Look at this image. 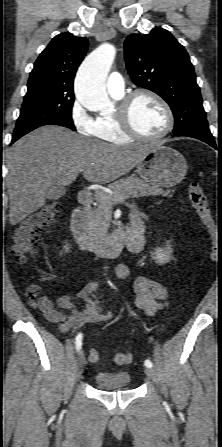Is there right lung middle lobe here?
I'll return each mask as SVG.
<instances>
[{
    "mask_svg": "<svg viewBox=\"0 0 222 447\" xmlns=\"http://www.w3.org/2000/svg\"><path fill=\"white\" fill-rule=\"evenodd\" d=\"M74 94L58 92L47 85L28 88L13 138H20L43 125H60L75 130L72 121Z\"/></svg>",
    "mask_w": 222,
    "mask_h": 447,
    "instance_id": "obj_1",
    "label": "right lung middle lobe"
}]
</instances>
